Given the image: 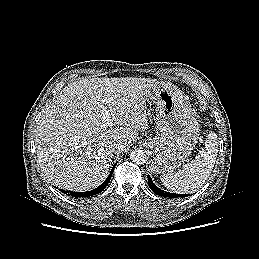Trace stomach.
Returning <instances> with one entry per match:
<instances>
[{"label": "stomach", "instance_id": "1", "mask_svg": "<svg viewBox=\"0 0 259 259\" xmlns=\"http://www.w3.org/2000/svg\"><path fill=\"white\" fill-rule=\"evenodd\" d=\"M156 105L159 135L144 144L152 157L151 170L169 173L179 168L199 139V124L182 91L168 82L154 84L148 94Z\"/></svg>", "mask_w": 259, "mask_h": 259}]
</instances>
